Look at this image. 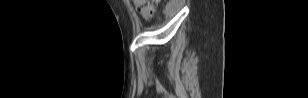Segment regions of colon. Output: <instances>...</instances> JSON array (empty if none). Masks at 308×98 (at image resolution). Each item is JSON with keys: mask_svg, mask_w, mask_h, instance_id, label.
Listing matches in <instances>:
<instances>
[{"mask_svg": "<svg viewBox=\"0 0 308 98\" xmlns=\"http://www.w3.org/2000/svg\"><path fill=\"white\" fill-rule=\"evenodd\" d=\"M134 3L139 7L142 15L146 19H150L154 16L157 10L158 1L157 0H134Z\"/></svg>", "mask_w": 308, "mask_h": 98, "instance_id": "obj_1", "label": "colon"}]
</instances>
